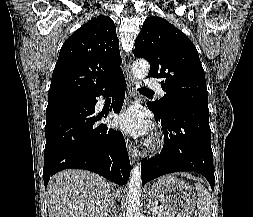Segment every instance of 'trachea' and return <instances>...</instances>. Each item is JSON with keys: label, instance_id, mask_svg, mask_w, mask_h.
I'll return each instance as SVG.
<instances>
[{"label": "trachea", "instance_id": "trachea-1", "mask_svg": "<svg viewBox=\"0 0 253 217\" xmlns=\"http://www.w3.org/2000/svg\"><path fill=\"white\" fill-rule=\"evenodd\" d=\"M140 90L145 91V92H151V93H153L151 90H149L147 88H144V87H141Z\"/></svg>", "mask_w": 253, "mask_h": 217}]
</instances>
